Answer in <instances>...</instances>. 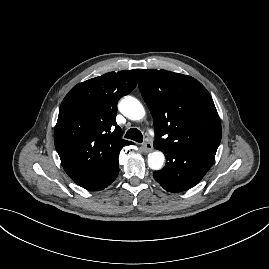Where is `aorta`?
Returning <instances> with one entry per match:
<instances>
[{
    "label": "aorta",
    "mask_w": 269,
    "mask_h": 269,
    "mask_svg": "<svg viewBox=\"0 0 269 269\" xmlns=\"http://www.w3.org/2000/svg\"><path fill=\"white\" fill-rule=\"evenodd\" d=\"M120 112L128 119L138 121L145 116L142 104L132 96H125L119 103ZM165 162L161 151H154L148 155V166L153 170H160Z\"/></svg>",
    "instance_id": "aorta-1"
}]
</instances>
